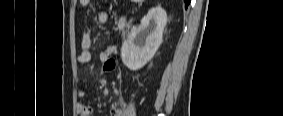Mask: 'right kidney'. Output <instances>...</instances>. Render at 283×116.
<instances>
[{"label": "right kidney", "instance_id": "1", "mask_svg": "<svg viewBox=\"0 0 283 116\" xmlns=\"http://www.w3.org/2000/svg\"><path fill=\"white\" fill-rule=\"evenodd\" d=\"M166 23V12L157 6L141 19L137 29L131 31L121 48L122 61L128 69L138 70L153 58L162 43Z\"/></svg>", "mask_w": 283, "mask_h": 116}]
</instances>
